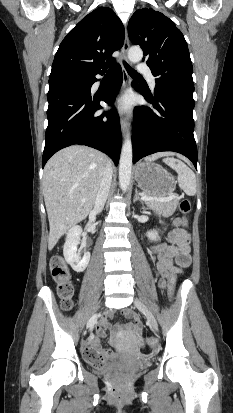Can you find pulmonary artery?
Here are the masks:
<instances>
[{
    "instance_id": "obj_1",
    "label": "pulmonary artery",
    "mask_w": 233,
    "mask_h": 413,
    "mask_svg": "<svg viewBox=\"0 0 233 413\" xmlns=\"http://www.w3.org/2000/svg\"><path fill=\"white\" fill-rule=\"evenodd\" d=\"M139 70H140V72H142L143 74H145V75L147 76L148 81H149V84H150L152 87H155L156 81H155V78H154V76L152 75L150 69H149L147 66L140 65V66H139Z\"/></svg>"
}]
</instances>
